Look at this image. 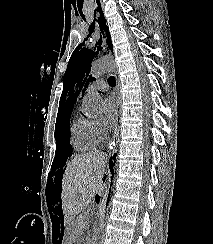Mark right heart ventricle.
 I'll return each instance as SVG.
<instances>
[{"mask_svg": "<svg viewBox=\"0 0 213 244\" xmlns=\"http://www.w3.org/2000/svg\"><path fill=\"white\" fill-rule=\"evenodd\" d=\"M70 133L71 143L77 150H89L98 144L93 121L87 118L75 117L70 126Z\"/></svg>", "mask_w": 213, "mask_h": 244, "instance_id": "1", "label": "right heart ventricle"}]
</instances>
